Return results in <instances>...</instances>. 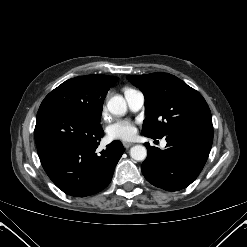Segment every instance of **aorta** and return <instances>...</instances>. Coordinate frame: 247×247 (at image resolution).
<instances>
[{
	"label": "aorta",
	"mask_w": 247,
	"mask_h": 247,
	"mask_svg": "<svg viewBox=\"0 0 247 247\" xmlns=\"http://www.w3.org/2000/svg\"><path fill=\"white\" fill-rule=\"evenodd\" d=\"M109 112L113 115H124L127 111V104L121 95H115L107 103ZM130 156L136 161H143L147 157V150L143 145H135L130 149Z\"/></svg>",
	"instance_id": "1"
}]
</instances>
